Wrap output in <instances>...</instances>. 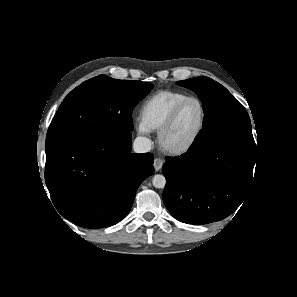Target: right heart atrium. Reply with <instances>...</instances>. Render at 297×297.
<instances>
[{
  "label": "right heart atrium",
  "instance_id": "d8ad5b80",
  "mask_svg": "<svg viewBox=\"0 0 297 297\" xmlns=\"http://www.w3.org/2000/svg\"><path fill=\"white\" fill-rule=\"evenodd\" d=\"M137 131L141 134H146L148 132L147 128L142 124L141 121H138L136 124Z\"/></svg>",
  "mask_w": 297,
  "mask_h": 297
}]
</instances>
